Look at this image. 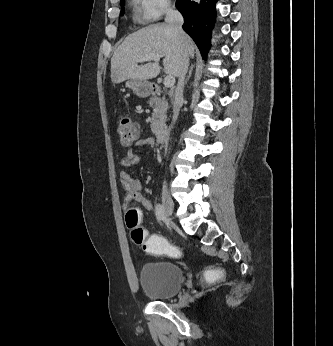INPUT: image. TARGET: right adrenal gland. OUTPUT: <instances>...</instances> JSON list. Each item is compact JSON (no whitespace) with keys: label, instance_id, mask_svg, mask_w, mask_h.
Here are the masks:
<instances>
[{"label":"right adrenal gland","instance_id":"2a0ac1e0","mask_svg":"<svg viewBox=\"0 0 333 346\" xmlns=\"http://www.w3.org/2000/svg\"><path fill=\"white\" fill-rule=\"evenodd\" d=\"M193 68H194V65H192L190 70H189L188 76H187V78L185 80V84H187V82L189 81V79H190V77L192 75Z\"/></svg>","mask_w":333,"mask_h":346}]
</instances>
